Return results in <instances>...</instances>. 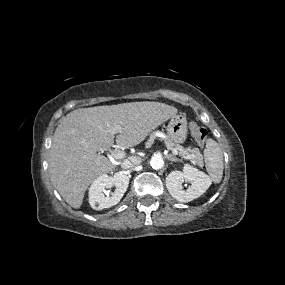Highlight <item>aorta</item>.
<instances>
[{
	"label": "aorta",
	"mask_w": 285,
	"mask_h": 285,
	"mask_svg": "<svg viewBox=\"0 0 285 285\" xmlns=\"http://www.w3.org/2000/svg\"><path fill=\"white\" fill-rule=\"evenodd\" d=\"M150 165L153 169L159 170L164 166V159L161 155L155 154L151 157Z\"/></svg>",
	"instance_id": "obj_1"
}]
</instances>
